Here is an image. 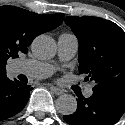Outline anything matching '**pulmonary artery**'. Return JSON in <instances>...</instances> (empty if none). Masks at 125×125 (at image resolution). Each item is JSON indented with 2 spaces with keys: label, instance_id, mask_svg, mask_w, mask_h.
<instances>
[{
  "label": "pulmonary artery",
  "instance_id": "obj_1",
  "mask_svg": "<svg viewBox=\"0 0 125 125\" xmlns=\"http://www.w3.org/2000/svg\"><path fill=\"white\" fill-rule=\"evenodd\" d=\"M58 57L65 61L74 57L78 50V39L74 34L61 33L57 38ZM54 66L49 62L39 60H20L17 63V72L38 80L48 78L54 73ZM93 93L92 88L85 90V96Z\"/></svg>",
  "mask_w": 125,
  "mask_h": 125
}]
</instances>
